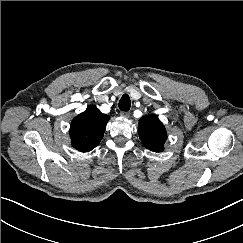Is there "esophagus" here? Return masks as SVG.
Segmentation results:
<instances>
[{"label": "esophagus", "instance_id": "1", "mask_svg": "<svg viewBox=\"0 0 243 243\" xmlns=\"http://www.w3.org/2000/svg\"><path fill=\"white\" fill-rule=\"evenodd\" d=\"M120 115L122 116V117H124V118H128L129 117V112H127V111H122L121 113H120Z\"/></svg>", "mask_w": 243, "mask_h": 243}]
</instances>
